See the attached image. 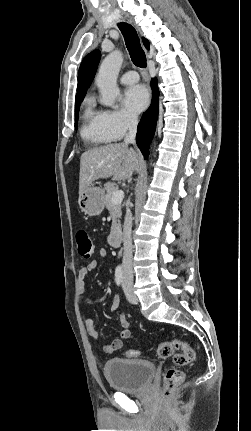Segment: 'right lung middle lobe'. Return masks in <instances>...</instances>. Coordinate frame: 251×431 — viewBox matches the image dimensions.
<instances>
[{
  "label": "right lung middle lobe",
  "instance_id": "1",
  "mask_svg": "<svg viewBox=\"0 0 251 431\" xmlns=\"http://www.w3.org/2000/svg\"><path fill=\"white\" fill-rule=\"evenodd\" d=\"M83 101V99H79L75 101V128L77 129L78 124V113L80 108V103Z\"/></svg>",
  "mask_w": 251,
  "mask_h": 431
}]
</instances>
